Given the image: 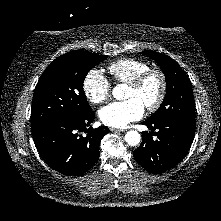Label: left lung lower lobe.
I'll use <instances>...</instances> for the list:
<instances>
[{"instance_id":"obj_1","label":"left lung lower lobe","mask_w":221,"mask_h":221,"mask_svg":"<svg viewBox=\"0 0 221 221\" xmlns=\"http://www.w3.org/2000/svg\"><path fill=\"white\" fill-rule=\"evenodd\" d=\"M142 124L152 132H143L142 143L133 152L136 162L154 174L174 168L189 151L196 124L179 119H148Z\"/></svg>"}]
</instances>
